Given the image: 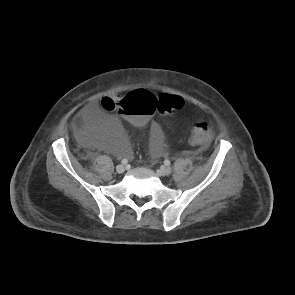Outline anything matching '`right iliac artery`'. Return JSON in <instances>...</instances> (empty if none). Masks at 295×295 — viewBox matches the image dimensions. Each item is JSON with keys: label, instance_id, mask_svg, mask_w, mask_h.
Wrapping results in <instances>:
<instances>
[{"label": "right iliac artery", "instance_id": "1", "mask_svg": "<svg viewBox=\"0 0 295 295\" xmlns=\"http://www.w3.org/2000/svg\"><path fill=\"white\" fill-rule=\"evenodd\" d=\"M121 162H122V164H127L128 161H127V159H123Z\"/></svg>", "mask_w": 295, "mask_h": 295}]
</instances>
